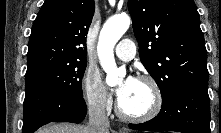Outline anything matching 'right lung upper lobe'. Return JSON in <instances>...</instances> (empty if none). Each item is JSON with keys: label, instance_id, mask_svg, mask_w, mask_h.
<instances>
[{"label": "right lung upper lobe", "instance_id": "obj_1", "mask_svg": "<svg viewBox=\"0 0 221 133\" xmlns=\"http://www.w3.org/2000/svg\"><path fill=\"white\" fill-rule=\"evenodd\" d=\"M93 15L94 0H45L32 26L26 75L86 61L82 46Z\"/></svg>", "mask_w": 221, "mask_h": 133}]
</instances>
